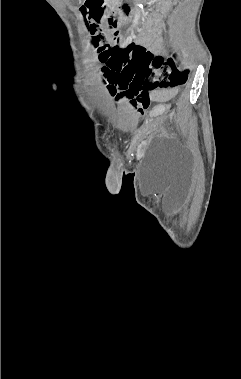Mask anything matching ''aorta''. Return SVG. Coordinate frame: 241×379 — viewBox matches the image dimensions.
I'll return each mask as SVG.
<instances>
[{"label": "aorta", "instance_id": "1", "mask_svg": "<svg viewBox=\"0 0 241 379\" xmlns=\"http://www.w3.org/2000/svg\"><path fill=\"white\" fill-rule=\"evenodd\" d=\"M139 7H140V5H139ZM140 15H141V10H140V8H137L136 13H135V17L133 20L134 25L138 24V21L140 19Z\"/></svg>", "mask_w": 241, "mask_h": 379}]
</instances>
